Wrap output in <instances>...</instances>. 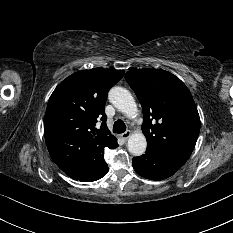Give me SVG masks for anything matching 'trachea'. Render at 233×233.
<instances>
[{"mask_svg": "<svg viewBox=\"0 0 233 233\" xmlns=\"http://www.w3.org/2000/svg\"><path fill=\"white\" fill-rule=\"evenodd\" d=\"M126 131V125L122 120H117L113 125L114 133H124Z\"/></svg>", "mask_w": 233, "mask_h": 233, "instance_id": "trachea-1", "label": "trachea"}]
</instances>
